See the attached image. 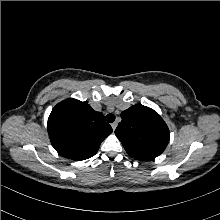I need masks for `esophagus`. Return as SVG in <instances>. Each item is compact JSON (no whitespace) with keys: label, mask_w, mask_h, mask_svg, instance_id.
Instances as JSON below:
<instances>
[{"label":"esophagus","mask_w":220,"mask_h":220,"mask_svg":"<svg viewBox=\"0 0 220 220\" xmlns=\"http://www.w3.org/2000/svg\"><path fill=\"white\" fill-rule=\"evenodd\" d=\"M111 127L113 129V131H115L116 127H117V122H114L111 124Z\"/></svg>","instance_id":"esophagus-1"}]
</instances>
